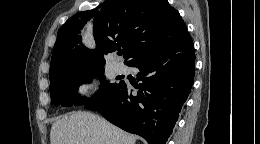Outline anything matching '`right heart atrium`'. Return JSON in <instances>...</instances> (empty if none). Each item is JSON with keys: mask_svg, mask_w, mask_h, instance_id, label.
<instances>
[{"mask_svg": "<svg viewBox=\"0 0 260 144\" xmlns=\"http://www.w3.org/2000/svg\"><path fill=\"white\" fill-rule=\"evenodd\" d=\"M95 87L92 83L90 82H83L77 87V93L79 95H87L90 94L94 91Z\"/></svg>", "mask_w": 260, "mask_h": 144, "instance_id": "d8ad5b80", "label": "right heart atrium"}]
</instances>
